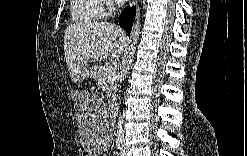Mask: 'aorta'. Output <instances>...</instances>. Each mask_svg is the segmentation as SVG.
<instances>
[{
  "instance_id": "762f6f07",
  "label": "aorta",
  "mask_w": 247,
  "mask_h": 156,
  "mask_svg": "<svg viewBox=\"0 0 247 156\" xmlns=\"http://www.w3.org/2000/svg\"><path fill=\"white\" fill-rule=\"evenodd\" d=\"M140 35V8L137 10V15L135 22L132 27V32H131V48L128 52L127 58H126V67L124 69V75L128 73V70L130 68V65L132 64L133 61V56L135 53V45L137 44V41L139 39Z\"/></svg>"
}]
</instances>
